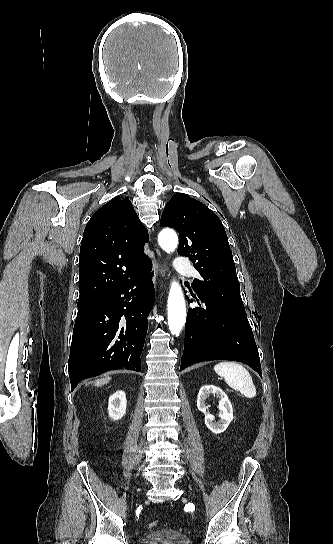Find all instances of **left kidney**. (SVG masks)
I'll return each instance as SVG.
<instances>
[{
	"label": "left kidney",
	"instance_id": "1",
	"mask_svg": "<svg viewBox=\"0 0 333 544\" xmlns=\"http://www.w3.org/2000/svg\"><path fill=\"white\" fill-rule=\"evenodd\" d=\"M213 394L219 399V417L218 422H214V415L207 412L206 399ZM197 408L205 415V424L207 428L215 433L220 434L224 432L231 421L233 420V408L232 404L225 394V392L219 387L213 385H205L200 388L197 398Z\"/></svg>",
	"mask_w": 333,
	"mask_h": 544
}]
</instances>
